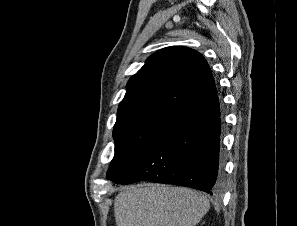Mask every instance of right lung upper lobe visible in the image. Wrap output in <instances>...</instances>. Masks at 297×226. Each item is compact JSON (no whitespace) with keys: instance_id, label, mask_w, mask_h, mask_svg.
Returning a JSON list of instances; mask_svg holds the SVG:
<instances>
[{"instance_id":"obj_1","label":"right lung upper lobe","mask_w":297,"mask_h":226,"mask_svg":"<svg viewBox=\"0 0 297 226\" xmlns=\"http://www.w3.org/2000/svg\"><path fill=\"white\" fill-rule=\"evenodd\" d=\"M216 93L210 67L199 52L167 47L152 54L130 78L116 122L144 115L172 116Z\"/></svg>"}]
</instances>
